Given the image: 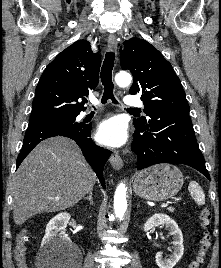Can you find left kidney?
<instances>
[{
  "instance_id": "left-kidney-1",
  "label": "left kidney",
  "mask_w": 221,
  "mask_h": 268,
  "mask_svg": "<svg viewBox=\"0 0 221 268\" xmlns=\"http://www.w3.org/2000/svg\"><path fill=\"white\" fill-rule=\"evenodd\" d=\"M157 226H165L173 236V254L168 259L162 257L161 252L155 255L159 268H173L184 253L183 235L177 223L166 214H154L144 224V231H149Z\"/></svg>"
}]
</instances>
